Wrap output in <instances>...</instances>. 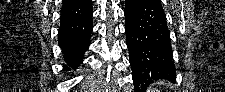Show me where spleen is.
<instances>
[{
  "mask_svg": "<svg viewBox=\"0 0 225 92\" xmlns=\"http://www.w3.org/2000/svg\"><path fill=\"white\" fill-rule=\"evenodd\" d=\"M147 92H160L158 89L148 88Z\"/></svg>",
  "mask_w": 225,
  "mask_h": 92,
  "instance_id": "1",
  "label": "spleen"
}]
</instances>
